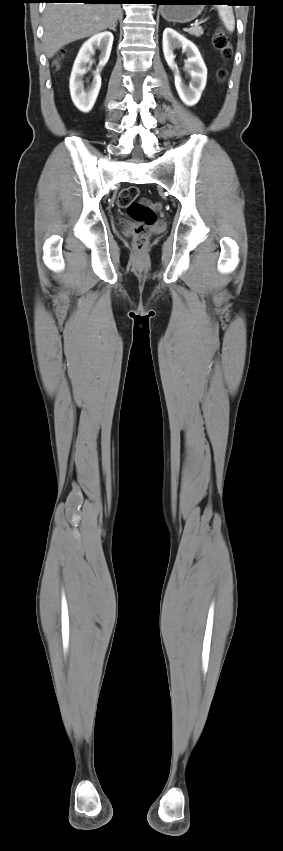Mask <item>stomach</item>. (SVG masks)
I'll list each match as a JSON object with an SVG mask.
<instances>
[{
	"label": "stomach",
	"instance_id": "1",
	"mask_svg": "<svg viewBox=\"0 0 283 851\" xmlns=\"http://www.w3.org/2000/svg\"><path fill=\"white\" fill-rule=\"evenodd\" d=\"M205 0H170L160 7L162 17L171 22L186 23L197 18L203 10Z\"/></svg>",
	"mask_w": 283,
	"mask_h": 851
}]
</instances>
